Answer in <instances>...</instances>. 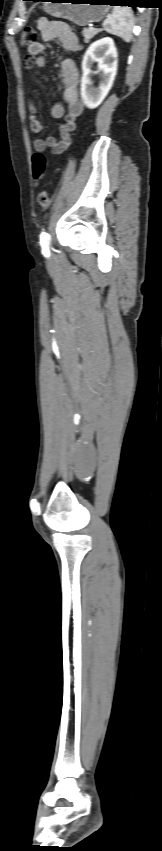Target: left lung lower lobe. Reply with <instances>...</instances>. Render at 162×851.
I'll return each mask as SVG.
<instances>
[{"label":"left lung lower lobe","instance_id":"0a47b994","mask_svg":"<svg viewBox=\"0 0 162 851\" xmlns=\"http://www.w3.org/2000/svg\"><path fill=\"white\" fill-rule=\"evenodd\" d=\"M34 1H44V0H34ZM107 3L110 5H122L131 7L135 2L133 0H107Z\"/></svg>","mask_w":162,"mask_h":851}]
</instances>
